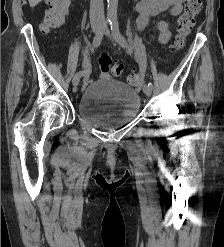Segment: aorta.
I'll return each mask as SVG.
<instances>
[{
  "mask_svg": "<svg viewBox=\"0 0 224 247\" xmlns=\"http://www.w3.org/2000/svg\"><path fill=\"white\" fill-rule=\"evenodd\" d=\"M118 0H107L108 20H117Z\"/></svg>",
  "mask_w": 224,
  "mask_h": 247,
  "instance_id": "1",
  "label": "aorta"
}]
</instances>
